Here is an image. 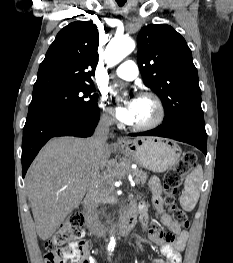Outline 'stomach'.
I'll list each match as a JSON object with an SVG mask.
<instances>
[{"label":"stomach","mask_w":233,"mask_h":263,"mask_svg":"<svg viewBox=\"0 0 233 263\" xmlns=\"http://www.w3.org/2000/svg\"><path fill=\"white\" fill-rule=\"evenodd\" d=\"M120 151L141 167L160 173L178 161L181 148L174 142L157 137H139L129 140Z\"/></svg>","instance_id":"stomach-1"}]
</instances>
